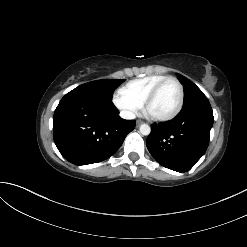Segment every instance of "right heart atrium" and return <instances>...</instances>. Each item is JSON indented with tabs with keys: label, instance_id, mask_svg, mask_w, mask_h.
<instances>
[{
	"label": "right heart atrium",
	"instance_id": "right-heart-atrium-1",
	"mask_svg": "<svg viewBox=\"0 0 247 247\" xmlns=\"http://www.w3.org/2000/svg\"><path fill=\"white\" fill-rule=\"evenodd\" d=\"M113 104L127 118L134 117L141 108V104L131 99L125 93L118 91L113 96Z\"/></svg>",
	"mask_w": 247,
	"mask_h": 247
}]
</instances>
